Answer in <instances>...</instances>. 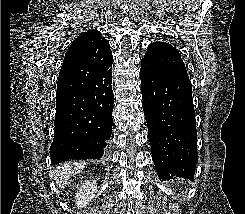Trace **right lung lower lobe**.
Segmentation results:
<instances>
[{
	"label": "right lung lower lobe",
	"instance_id": "obj_1",
	"mask_svg": "<svg viewBox=\"0 0 245 214\" xmlns=\"http://www.w3.org/2000/svg\"><path fill=\"white\" fill-rule=\"evenodd\" d=\"M112 62L102 64L84 87L75 83L72 63H64L58 78L53 164L70 159H100L112 131L114 94Z\"/></svg>",
	"mask_w": 245,
	"mask_h": 214
}]
</instances>
